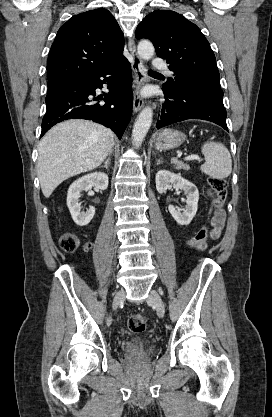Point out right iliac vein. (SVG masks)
<instances>
[{"mask_svg":"<svg viewBox=\"0 0 272 417\" xmlns=\"http://www.w3.org/2000/svg\"><path fill=\"white\" fill-rule=\"evenodd\" d=\"M124 297H125V292L123 290L118 291L116 293L114 300H113V304H112L114 310L118 308L119 304L123 301Z\"/></svg>","mask_w":272,"mask_h":417,"instance_id":"right-iliac-vein-1","label":"right iliac vein"}]
</instances>
